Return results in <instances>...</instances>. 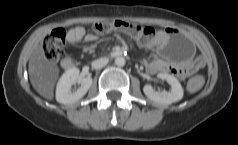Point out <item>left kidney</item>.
I'll list each match as a JSON object with an SVG mask.
<instances>
[{"label":"left kidney","instance_id":"1","mask_svg":"<svg viewBox=\"0 0 238 145\" xmlns=\"http://www.w3.org/2000/svg\"><path fill=\"white\" fill-rule=\"evenodd\" d=\"M158 77L162 80H166L171 85V90L169 92H158L155 91L151 85H145L143 91L149 99L163 105H169L183 98V88L174 76L166 73H159Z\"/></svg>","mask_w":238,"mask_h":145}]
</instances>
